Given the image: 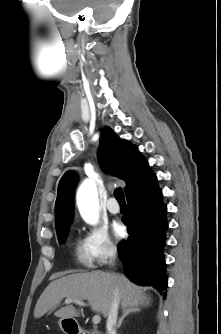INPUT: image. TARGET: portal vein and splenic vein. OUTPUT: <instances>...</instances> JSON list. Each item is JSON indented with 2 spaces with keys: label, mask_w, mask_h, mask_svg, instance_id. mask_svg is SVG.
Returning <instances> with one entry per match:
<instances>
[{
  "label": "portal vein and splenic vein",
  "mask_w": 221,
  "mask_h": 334,
  "mask_svg": "<svg viewBox=\"0 0 221 334\" xmlns=\"http://www.w3.org/2000/svg\"><path fill=\"white\" fill-rule=\"evenodd\" d=\"M72 302H74V303H76V304H78V305H81V306H86V304L83 302V301H81V300H78V299H70V298H66L65 299V303H67V304H69V303H72ZM92 321H93V324H98V323H100V321H101V316L100 315H94L93 316V318H92Z\"/></svg>",
  "instance_id": "obj_1"
}]
</instances>
